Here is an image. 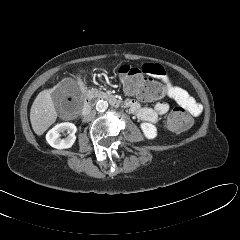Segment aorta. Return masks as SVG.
Here are the masks:
<instances>
[{
  "mask_svg": "<svg viewBox=\"0 0 240 240\" xmlns=\"http://www.w3.org/2000/svg\"><path fill=\"white\" fill-rule=\"evenodd\" d=\"M96 110L98 112H104L107 110L108 108V102L106 100H99L97 103H96Z\"/></svg>",
  "mask_w": 240,
  "mask_h": 240,
  "instance_id": "obj_1",
  "label": "aorta"
}]
</instances>
